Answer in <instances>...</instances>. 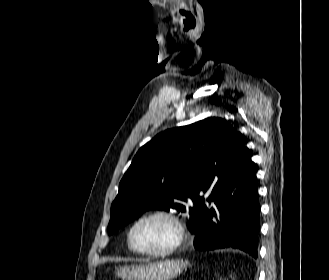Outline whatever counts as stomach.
I'll list each match as a JSON object with an SVG mask.
<instances>
[{"instance_id": "stomach-1", "label": "stomach", "mask_w": 329, "mask_h": 280, "mask_svg": "<svg viewBox=\"0 0 329 280\" xmlns=\"http://www.w3.org/2000/svg\"><path fill=\"white\" fill-rule=\"evenodd\" d=\"M189 265L183 260H164L146 264L124 265L117 269L123 280H171Z\"/></svg>"}]
</instances>
